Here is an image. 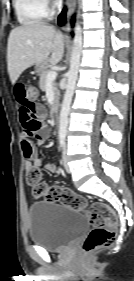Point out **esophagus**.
I'll list each match as a JSON object with an SVG mask.
<instances>
[{
    "instance_id": "34e87169",
    "label": "esophagus",
    "mask_w": 134,
    "mask_h": 281,
    "mask_svg": "<svg viewBox=\"0 0 134 281\" xmlns=\"http://www.w3.org/2000/svg\"><path fill=\"white\" fill-rule=\"evenodd\" d=\"M77 0H67L66 9H67V17L69 18L75 10ZM67 29H69V24H67Z\"/></svg>"
}]
</instances>
